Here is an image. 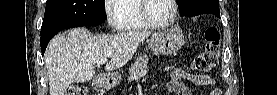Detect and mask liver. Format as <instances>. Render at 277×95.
Here are the masks:
<instances>
[{"instance_id": "obj_1", "label": "liver", "mask_w": 277, "mask_h": 95, "mask_svg": "<svg viewBox=\"0 0 277 95\" xmlns=\"http://www.w3.org/2000/svg\"><path fill=\"white\" fill-rule=\"evenodd\" d=\"M149 35L150 32L128 31L92 36L87 29L76 28L55 36L45 55L50 95H64L73 82L91 80L97 62L104 58H110L105 65L108 72L124 66Z\"/></svg>"}]
</instances>
